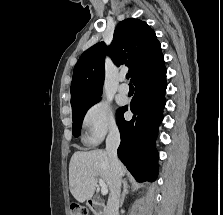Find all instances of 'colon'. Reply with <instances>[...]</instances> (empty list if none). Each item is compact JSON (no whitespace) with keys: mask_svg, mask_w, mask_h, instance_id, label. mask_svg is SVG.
Listing matches in <instances>:
<instances>
[{"mask_svg":"<svg viewBox=\"0 0 223 215\" xmlns=\"http://www.w3.org/2000/svg\"><path fill=\"white\" fill-rule=\"evenodd\" d=\"M70 215H88V212L84 207L75 204L71 206Z\"/></svg>","mask_w":223,"mask_h":215,"instance_id":"1","label":"colon"}]
</instances>
